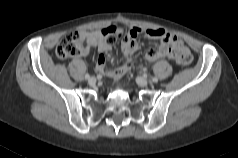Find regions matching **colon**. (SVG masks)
Listing matches in <instances>:
<instances>
[{
    "mask_svg": "<svg viewBox=\"0 0 238 158\" xmlns=\"http://www.w3.org/2000/svg\"><path fill=\"white\" fill-rule=\"evenodd\" d=\"M119 34H121V30L113 27L101 30L102 40L108 44H112ZM85 53L86 47L84 39L81 33L77 31L66 34L56 48V55L60 59L81 56ZM174 56L176 63L180 67H186L192 61L191 55L186 52L176 51L174 52Z\"/></svg>",
    "mask_w": 238,
    "mask_h": 158,
    "instance_id": "5ec220e1",
    "label": "colon"
}]
</instances>
